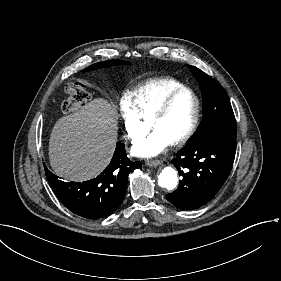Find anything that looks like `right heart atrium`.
<instances>
[{
  "instance_id": "right-heart-atrium-1",
  "label": "right heart atrium",
  "mask_w": 281,
  "mask_h": 281,
  "mask_svg": "<svg viewBox=\"0 0 281 281\" xmlns=\"http://www.w3.org/2000/svg\"><path fill=\"white\" fill-rule=\"evenodd\" d=\"M120 120L124 130L123 139L131 145L137 144L145 135V126L125 99L120 102Z\"/></svg>"
}]
</instances>
